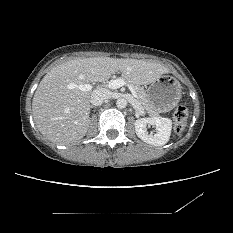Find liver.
Segmentation results:
<instances>
[{
	"label": "liver",
	"mask_w": 233,
	"mask_h": 233,
	"mask_svg": "<svg viewBox=\"0 0 233 233\" xmlns=\"http://www.w3.org/2000/svg\"><path fill=\"white\" fill-rule=\"evenodd\" d=\"M118 71L138 85L150 84L168 73L159 63L131 58H76L57 65L43 77L32 101L34 122L41 134L61 145L82 139L90 124L92 91L77 86L103 82ZM70 84L76 86L70 89Z\"/></svg>",
	"instance_id": "1"
}]
</instances>
